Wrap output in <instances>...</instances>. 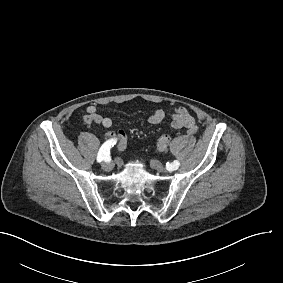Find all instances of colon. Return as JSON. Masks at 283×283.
<instances>
[{
  "label": "colon",
  "instance_id": "1",
  "mask_svg": "<svg viewBox=\"0 0 283 283\" xmlns=\"http://www.w3.org/2000/svg\"><path fill=\"white\" fill-rule=\"evenodd\" d=\"M171 137L169 134H162L156 141V147L158 150H164L170 143Z\"/></svg>",
  "mask_w": 283,
  "mask_h": 283
}]
</instances>
